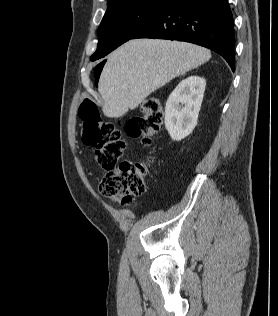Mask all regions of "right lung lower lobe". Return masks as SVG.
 Here are the masks:
<instances>
[{"label": "right lung lower lobe", "instance_id": "1", "mask_svg": "<svg viewBox=\"0 0 278 316\" xmlns=\"http://www.w3.org/2000/svg\"><path fill=\"white\" fill-rule=\"evenodd\" d=\"M135 38L198 44L220 54L234 71L235 37L228 0H167Z\"/></svg>", "mask_w": 278, "mask_h": 316}]
</instances>
